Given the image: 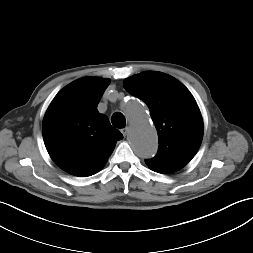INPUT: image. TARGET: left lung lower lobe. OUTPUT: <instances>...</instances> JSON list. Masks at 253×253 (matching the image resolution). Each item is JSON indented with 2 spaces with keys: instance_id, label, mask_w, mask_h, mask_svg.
Masks as SVG:
<instances>
[{
  "instance_id": "0a47b994",
  "label": "left lung lower lobe",
  "mask_w": 253,
  "mask_h": 253,
  "mask_svg": "<svg viewBox=\"0 0 253 253\" xmlns=\"http://www.w3.org/2000/svg\"><path fill=\"white\" fill-rule=\"evenodd\" d=\"M154 171H155V170H154ZM156 172L163 173V172H160V171H156Z\"/></svg>"
}]
</instances>
